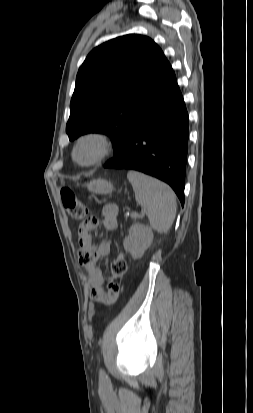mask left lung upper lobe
Returning a JSON list of instances; mask_svg holds the SVG:
<instances>
[{
    "mask_svg": "<svg viewBox=\"0 0 253 413\" xmlns=\"http://www.w3.org/2000/svg\"><path fill=\"white\" fill-rule=\"evenodd\" d=\"M169 66L161 48L142 35L120 36L93 49L76 77L66 125L69 139L105 133L117 156L129 121Z\"/></svg>",
    "mask_w": 253,
    "mask_h": 413,
    "instance_id": "obj_1",
    "label": "left lung upper lobe"
}]
</instances>
